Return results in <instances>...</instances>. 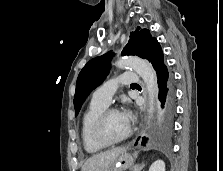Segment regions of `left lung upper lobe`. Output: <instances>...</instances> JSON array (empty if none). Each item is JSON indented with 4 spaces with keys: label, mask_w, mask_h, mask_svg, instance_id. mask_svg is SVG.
Masks as SVG:
<instances>
[{
    "label": "left lung upper lobe",
    "mask_w": 223,
    "mask_h": 171,
    "mask_svg": "<svg viewBox=\"0 0 223 171\" xmlns=\"http://www.w3.org/2000/svg\"><path fill=\"white\" fill-rule=\"evenodd\" d=\"M148 29H137L130 34L126 46L122 50V55H137L141 58H147L152 45L156 42ZM114 56L111 51L104 55L90 60L79 73L76 82V91L74 96L75 116L78 115L82 104L98 85H100L110 70V62Z\"/></svg>",
    "instance_id": "1"
}]
</instances>
